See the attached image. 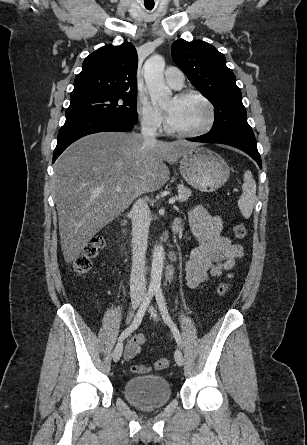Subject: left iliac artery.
I'll return each mask as SVG.
<instances>
[{
  "instance_id": "obj_1",
  "label": "left iliac artery",
  "mask_w": 307,
  "mask_h": 445,
  "mask_svg": "<svg viewBox=\"0 0 307 445\" xmlns=\"http://www.w3.org/2000/svg\"><path fill=\"white\" fill-rule=\"evenodd\" d=\"M155 297H156V301L159 307V310L161 312L162 318L164 320V322L169 326V328L171 329V332L173 333V336L177 342V344L179 345V347H182V341H181V335L179 333V330L177 328V326L175 325V323L172 321L166 303H165V298L164 295L162 293L161 289H156L155 290Z\"/></svg>"
}]
</instances>
